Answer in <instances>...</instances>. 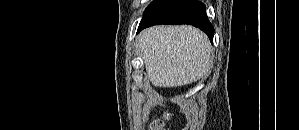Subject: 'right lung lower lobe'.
<instances>
[{
	"label": "right lung lower lobe",
	"instance_id": "98d812e1",
	"mask_svg": "<svg viewBox=\"0 0 299 130\" xmlns=\"http://www.w3.org/2000/svg\"><path fill=\"white\" fill-rule=\"evenodd\" d=\"M158 24H190L204 31L213 42L214 27L205 5L198 0H154L146 8L137 32Z\"/></svg>",
	"mask_w": 299,
	"mask_h": 130
}]
</instances>
